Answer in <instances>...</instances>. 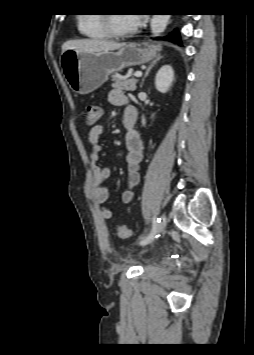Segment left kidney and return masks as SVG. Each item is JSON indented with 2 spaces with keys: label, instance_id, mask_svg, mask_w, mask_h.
I'll use <instances>...</instances> for the list:
<instances>
[{
  "label": "left kidney",
  "instance_id": "1",
  "mask_svg": "<svg viewBox=\"0 0 254 355\" xmlns=\"http://www.w3.org/2000/svg\"><path fill=\"white\" fill-rule=\"evenodd\" d=\"M174 81V70L170 65L162 66L156 74L155 86L161 93L169 91Z\"/></svg>",
  "mask_w": 254,
  "mask_h": 355
}]
</instances>
